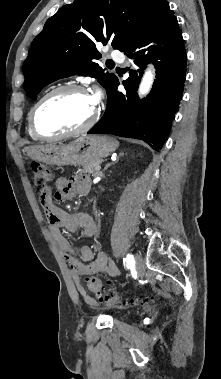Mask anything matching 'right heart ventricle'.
<instances>
[{"mask_svg": "<svg viewBox=\"0 0 221 379\" xmlns=\"http://www.w3.org/2000/svg\"><path fill=\"white\" fill-rule=\"evenodd\" d=\"M30 112H31V110H30ZM30 112H29V114H28V134L30 135V137L31 138H33V139H38L35 135H34V133L32 132V130H31V128H30V123H29V117H30Z\"/></svg>", "mask_w": 221, "mask_h": 379, "instance_id": "e07e8e85", "label": "right heart ventricle"}]
</instances>
